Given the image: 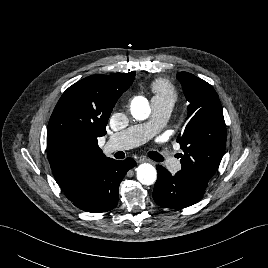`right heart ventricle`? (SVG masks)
I'll return each instance as SVG.
<instances>
[{"label":"right heart ventricle","mask_w":268,"mask_h":268,"mask_svg":"<svg viewBox=\"0 0 268 268\" xmlns=\"http://www.w3.org/2000/svg\"><path fill=\"white\" fill-rule=\"evenodd\" d=\"M151 89L154 94L153 99L167 103L171 105V107H173L174 103L177 101L178 93L176 88L165 79H157L154 81Z\"/></svg>","instance_id":"e07e8e85"}]
</instances>
